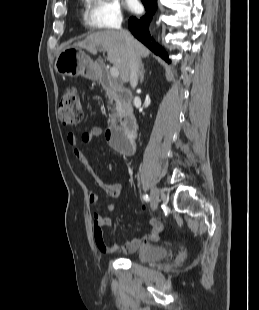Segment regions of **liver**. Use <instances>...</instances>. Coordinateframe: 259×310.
<instances>
[{
	"label": "liver",
	"instance_id": "1",
	"mask_svg": "<svg viewBox=\"0 0 259 310\" xmlns=\"http://www.w3.org/2000/svg\"><path fill=\"white\" fill-rule=\"evenodd\" d=\"M73 46L87 49L94 54L98 48L106 50L107 59L118 68L122 82H128L130 75L129 50L121 32L114 30L95 32L88 35L83 41L75 43ZM134 50L140 58H146L150 53L142 43L135 39Z\"/></svg>",
	"mask_w": 259,
	"mask_h": 310
}]
</instances>
